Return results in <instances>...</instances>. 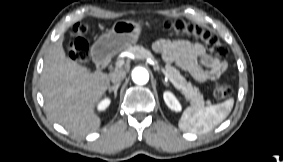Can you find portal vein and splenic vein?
Wrapping results in <instances>:
<instances>
[{"label":"portal vein and splenic vein","instance_id":"obj_1","mask_svg":"<svg viewBox=\"0 0 283 162\" xmlns=\"http://www.w3.org/2000/svg\"><path fill=\"white\" fill-rule=\"evenodd\" d=\"M125 64H126L125 61L120 60V61H117V62H116L115 66H116L117 68H120V67H122V66L125 65ZM162 72L165 74V76L169 79V81H170L176 88L179 87V86L174 82V80L168 76V74L165 72L164 69H162Z\"/></svg>","mask_w":283,"mask_h":162}]
</instances>
